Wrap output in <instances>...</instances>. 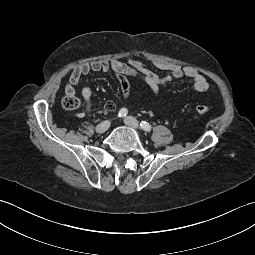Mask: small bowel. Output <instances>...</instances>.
I'll list each match as a JSON object with an SVG mask.
<instances>
[{"instance_id":"small-bowel-1","label":"small bowel","mask_w":255,"mask_h":255,"mask_svg":"<svg viewBox=\"0 0 255 255\" xmlns=\"http://www.w3.org/2000/svg\"><path fill=\"white\" fill-rule=\"evenodd\" d=\"M154 66L159 70H165L168 73L165 76H159L149 67L134 58L126 61L113 59L107 61H93L77 66L69 78V83L65 88L66 94H75V89L83 76L92 72H107L111 70L118 78L120 90L126 99L131 98V89L126 77H139L143 79L151 89L152 94L157 97L160 87L174 80L188 77L192 80L193 86L197 91L204 92L209 89L207 78L193 68H182L179 65L169 64L162 61L154 62ZM92 88L85 86L82 88L81 95L85 104V112L91 111ZM116 104L112 100H108L104 104V109L108 112L115 110Z\"/></svg>"}]
</instances>
